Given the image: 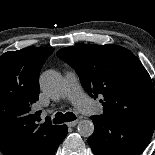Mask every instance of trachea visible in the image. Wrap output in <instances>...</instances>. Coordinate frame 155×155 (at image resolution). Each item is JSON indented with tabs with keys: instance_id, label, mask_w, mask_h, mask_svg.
<instances>
[{
	"instance_id": "obj_1",
	"label": "trachea",
	"mask_w": 155,
	"mask_h": 155,
	"mask_svg": "<svg viewBox=\"0 0 155 155\" xmlns=\"http://www.w3.org/2000/svg\"><path fill=\"white\" fill-rule=\"evenodd\" d=\"M74 120H76V116L72 112H67L65 114H63L61 112H57L55 114L54 119H53V123L54 124H61L64 121L70 122V121H74Z\"/></svg>"
}]
</instances>
